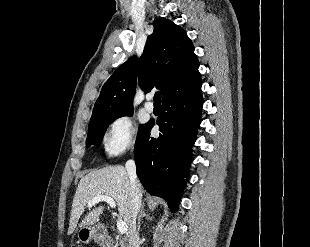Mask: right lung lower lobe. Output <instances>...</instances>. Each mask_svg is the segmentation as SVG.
<instances>
[{"label":"right lung lower lobe","mask_w":310,"mask_h":247,"mask_svg":"<svg viewBox=\"0 0 310 247\" xmlns=\"http://www.w3.org/2000/svg\"><path fill=\"white\" fill-rule=\"evenodd\" d=\"M201 81L162 100L157 119L161 132L150 138L154 122L144 124L135 143L137 175L146 191L164 198L172 212L178 209L189 176L192 146L202 111Z\"/></svg>","instance_id":"obj_1"}]
</instances>
